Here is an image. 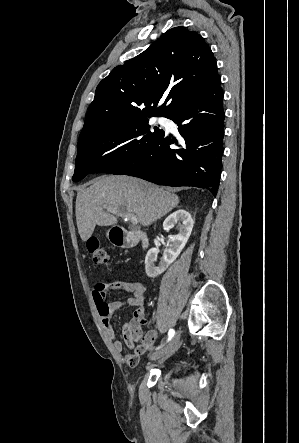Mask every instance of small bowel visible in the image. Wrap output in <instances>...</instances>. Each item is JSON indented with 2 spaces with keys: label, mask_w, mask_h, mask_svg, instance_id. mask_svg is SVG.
Returning a JSON list of instances; mask_svg holds the SVG:
<instances>
[{
  "label": "small bowel",
  "mask_w": 299,
  "mask_h": 443,
  "mask_svg": "<svg viewBox=\"0 0 299 443\" xmlns=\"http://www.w3.org/2000/svg\"><path fill=\"white\" fill-rule=\"evenodd\" d=\"M114 291L128 292L131 295L125 300L107 302L106 294ZM144 293L145 286L139 281L114 279L96 282L91 287L93 302L97 307L102 325L112 340L115 352L121 354L124 344L131 350V353L124 356V360L129 366L137 364L139 357L155 344L158 336L156 330L143 333L140 327V322L144 318ZM126 305L135 307L136 311L133 319L127 321L122 328L123 343L116 337L112 317L117 310Z\"/></svg>",
  "instance_id": "c3829d8e"
}]
</instances>
